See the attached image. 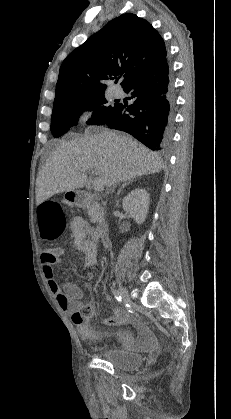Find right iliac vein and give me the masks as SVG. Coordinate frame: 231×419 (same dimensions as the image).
I'll use <instances>...</instances> for the list:
<instances>
[{"label": "right iliac vein", "mask_w": 231, "mask_h": 419, "mask_svg": "<svg viewBox=\"0 0 231 419\" xmlns=\"http://www.w3.org/2000/svg\"><path fill=\"white\" fill-rule=\"evenodd\" d=\"M118 292H119L121 298L123 299L124 303L131 304L130 297H129L126 289L123 286L119 285Z\"/></svg>", "instance_id": "1"}]
</instances>
